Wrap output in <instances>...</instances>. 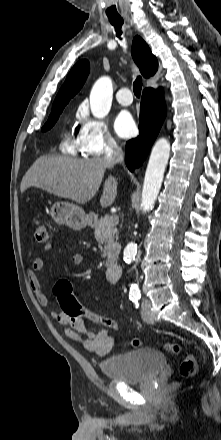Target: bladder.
Returning a JSON list of instances; mask_svg holds the SVG:
<instances>
[{"instance_id": "obj_1", "label": "bladder", "mask_w": 221, "mask_h": 440, "mask_svg": "<svg viewBox=\"0 0 221 440\" xmlns=\"http://www.w3.org/2000/svg\"><path fill=\"white\" fill-rule=\"evenodd\" d=\"M167 364L166 357L153 348L137 349L113 356L100 363L104 376L114 382H145L158 375Z\"/></svg>"}]
</instances>
